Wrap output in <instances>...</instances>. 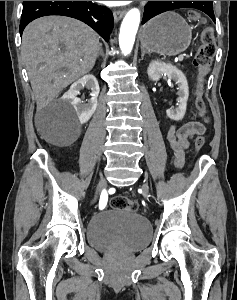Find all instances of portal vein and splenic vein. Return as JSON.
I'll return each mask as SVG.
<instances>
[{
	"instance_id": "1",
	"label": "portal vein and splenic vein",
	"mask_w": 237,
	"mask_h": 300,
	"mask_svg": "<svg viewBox=\"0 0 237 300\" xmlns=\"http://www.w3.org/2000/svg\"><path fill=\"white\" fill-rule=\"evenodd\" d=\"M178 58H179L178 60L181 62V61L183 60L184 57H183L182 55H180ZM181 63H182V62H181Z\"/></svg>"
}]
</instances>
